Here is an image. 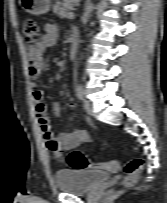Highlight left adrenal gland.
<instances>
[{
    "label": "left adrenal gland",
    "instance_id": "obj_1",
    "mask_svg": "<svg viewBox=\"0 0 167 203\" xmlns=\"http://www.w3.org/2000/svg\"><path fill=\"white\" fill-rule=\"evenodd\" d=\"M89 7H90V6H89V3H88V4L86 5V9H89Z\"/></svg>",
    "mask_w": 167,
    "mask_h": 203
}]
</instances>
